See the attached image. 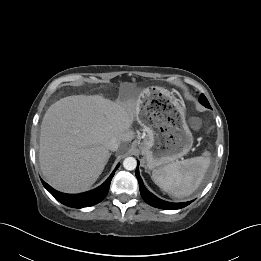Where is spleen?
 <instances>
[{"mask_svg": "<svg viewBox=\"0 0 261 261\" xmlns=\"http://www.w3.org/2000/svg\"><path fill=\"white\" fill-rule=\"evenodd\" d=\"M210 153L172 162L152 172V180L168 194L182 198L191 195L201 184L210 165Z\"/></svg>", "mask_w": 261, "mask_h": 261, "instance_id": "1", "label": "spleen"}]
</instances>
